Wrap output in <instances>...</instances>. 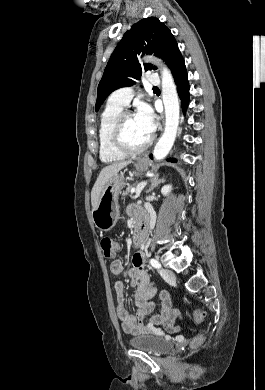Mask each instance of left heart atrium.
Returning a JSON list of instances; mask_svg holds the SVG:
<instances>
[{
	"label": "left heart atrium",
	"instance_id": "39dd6f15",
	"mask_svg": "<svg viewBox=\"0 0 265 390\" xmlns=\"http://www.w3.org/2000/svg\"><path fill=\"white\" fill-rule=\"evenodd\" d=\"M135 118L143 133L149 138L156 128V121L152 109L147 104L141 105L135 114Z\"/></svg>",
	"mask_w": 265,
	"mask_h": 390
}]
</instances>
